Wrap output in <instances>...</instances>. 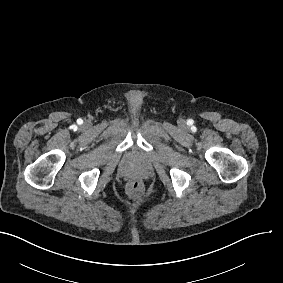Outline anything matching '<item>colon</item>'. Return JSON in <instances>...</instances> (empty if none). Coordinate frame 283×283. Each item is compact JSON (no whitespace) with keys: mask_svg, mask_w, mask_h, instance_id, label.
<instances>
[{"mask_svg":"<svg viewBox=\"0 0 283 283\" xmlns=\"http://www.w3.org/2000/svg\"><path fill=\"white\" fill-rule=\"evenodd\" d=\"M130 187H131V189H132V190L137 191V190H138L139 185H138V183H137V182H133V183H131Z\"/></svg>","mask_w":283,"mask_h":283,"instance_id":"colon-1","label":"colon"}]
</instances>
